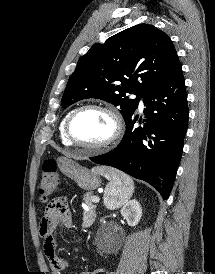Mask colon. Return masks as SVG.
<instances>
[{"label":"colon","mask_w":215,"mask_h":274,"mask_svg":"<svg viewBox=\"0 0 215 274\" xmlns=\"http://www.w3.org/2000/svg\"><path fill=\"white\" fill-rule=\"evenodd\" d=\"M59 182L56 162L53 159L45 160L41 170L39 187L41 197L46 199L52 195L58 189Z\"/></svg>","instance_id":"5ec220e1"}]
</instances>
